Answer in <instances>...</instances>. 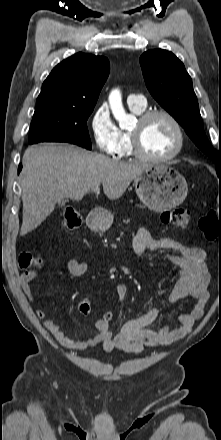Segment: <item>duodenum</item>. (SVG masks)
I'll return each mask as SVG.
<instances>
[{"label":"duodenum","instance_id":"1","mask_svg":"<svg viewBox=\"0 0 221 440\" xmlns=\"http://www.w3.org/2000/svg\"><path fill=\"white\" fill-rule=\"evenodd\" d=\"M106 221V215L100 210L95 211L88 216V223L93 228H99L103 226Z\"/></svg>","mask_w":221,"mask_h":440}]
</instances>
